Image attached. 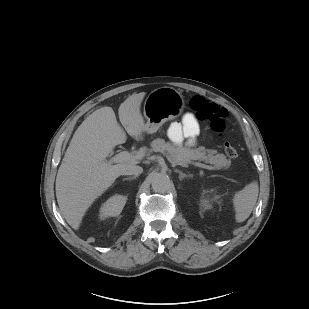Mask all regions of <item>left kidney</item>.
<instances>
[{
	"instance_id": "obj_1",
	"label": "left kidney",
	"mask_w": 309,
	"mask_h": 309,
	"mask_svg": "<svg viewBox=\"0 0 309 309\" xmlns=\"http://www.w3.org/2000/svg\"><path fill=\"white\" fill-rule=\"evenodd\" d=\"M200 205L203 209H210L211 208V204L209 203V200L202 198L200 200Z\"/></svg>"
}]
</instances>
